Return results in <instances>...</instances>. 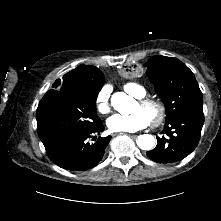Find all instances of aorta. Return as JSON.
Listing matches in <instances>:
<instances>
[{"label": "aorta", "instance_id": "762f6f07", "mask_svg": "<svg viewBox=\"0 0 221 221\" xmlns=\"http://www.w3.org/2000/svg\"><path fill=\"white\" fill-rule=\"evenodd\" d=\"M133 98L125 94L124 92H116L111 97V105L118 112L125 114L130 111V107L133 104ZM136 143L142 150H151L155 144V138L150 134H143L138 136Z\"/></svg>", "mask_w": 221, "mask_h": 221}]
</instances>
